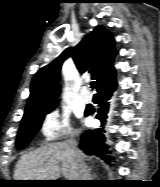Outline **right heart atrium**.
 I'll list each match as a JSON object with an SVG mask.
<instances>
[{"label": "right heart atrium", "mask_w": 160, "mask_h": 187, "mask_svg": "<svg viewBox=\"0 0 160 187\" xmlns=\"http://www.w3.org/2000/svg\"><path fill=\"white\" fill-rule=\"evenodd\" d=\"M40 132L47 142L70 140L74 137L69 114L59 109H52L44 116Z\"/></svg>", "instance_id": "right-heart-atrium-1"}]
</instances>
